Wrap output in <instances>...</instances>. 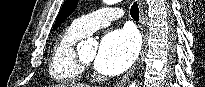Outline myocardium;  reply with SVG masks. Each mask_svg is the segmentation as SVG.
Returning <instances> with one entry per match:
<instances>
[{"mask_svg": "<svg viewBox=\"0 0 205 87\" xmlns=\"http://www.w3.org/2000/svg\"><path fill=\"white\" fill-rule=\"evenodd\" d=\"M76 60L83 72H89L91 70V64L84 61L78 52H76Z\"/></svg>", "mask_w": 205, "mask_h": 87, "instance_id": "myocardium-1", "label": "myocardium"}]
</instances>
